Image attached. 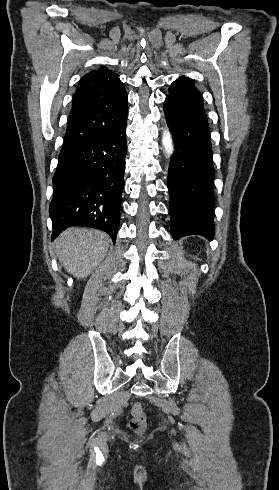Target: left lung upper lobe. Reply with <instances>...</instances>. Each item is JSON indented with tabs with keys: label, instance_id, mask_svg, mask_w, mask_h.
<instances>
[{
	"label": "left lung upper lobe",
	"instance_id": "left-lung-upper-lobe-1",
	"mask_svg": "<svg viewBox=\"0 0 279 490\" xmlns=\"http://www.w3.org/2000/svg\"><path fill=\"white\" fill-rule=\"evenodd\" d=\"M187 105L203 108V99L199 91L195 88L192 80L180 77L172 83L169 95Z\"/></svg>",
	"mask_w": 279,
	"mask_h": 490
}]
</instances>
